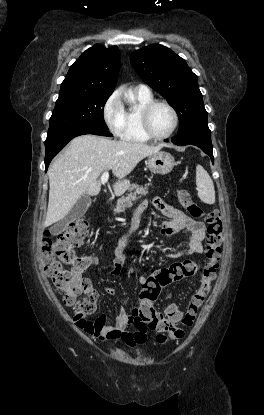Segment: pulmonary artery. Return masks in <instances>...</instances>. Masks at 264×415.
Instances as JSON below:
<instances>
[{
    "instance_id": "pulmonary-artery-1",
    "label": "pulmonary artery",
    "mask_w": 264,
    "mask_h": 415,
    "mask_svg": "<svg viewBox=\"0 0 264 415\" xmlns=\"http://www.w3.org/2000/svg\"><path fill=\"white\" fill-rule=\"evenodd\" d=\"M136 90L142 93H150V88L147 85L140 84L136 86Z\"/></svg>"
}]
</instances>
